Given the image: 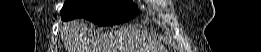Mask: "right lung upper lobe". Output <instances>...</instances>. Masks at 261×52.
I'll use <instances>...</instances> for the list:
<instances>
[{
    "instance_id": "right-lung-upper-lobe-1",
    "label": "right lung upper lobe",
    "mask_w": 261,
    "mask_h": 52,
    "mask_svg": "<svg viewBox=\"0 0 261 52\" xmlns=\"http://www.w3.org/2000/svg\"><path fill=\"white\" fill-rule=\"evenodd\" d=\"M120 1H125V2H129V3H133V0H120Z\"/></svg>"
}]
</instances>
